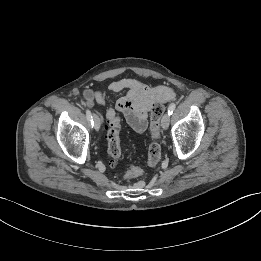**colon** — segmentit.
<instances>
[{
	"label": "colon",
	"mask_w": 261,
	"mask_h": 261,
	"mask_svg": "<svg viewBox=\"0 0 261 261\" xmlns=\"http://www.w3.org/2000/svg\"><path fill=\"white\" fill-rule=\"evenodd\" d=\"M164 105L162 103L154 104L150 115V134L151 143L148 147L147 165L155 166L161 158V146L159 143V127L160 120L164 112ZM120 128L121 122L118 117H115L108 121L106 139L108 142V157L109 164L115 166L118 159L121 156L120 147ZM142 169L137 166H133L125 175L126 179H132L139 177L142 174Z\"/></svg>",
	"instance_id": "obj_1"
}]
</instances>
